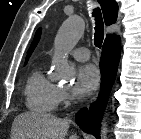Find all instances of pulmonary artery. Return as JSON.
<instances>
[{"mask_svg": "<svg viewBox=\"0 0 141 139\" xmlns=\"http://www.w3.org/2000/svg\"><path fill=\"white\" fill-rule=\"evenodd\" d=\"M72 57L78 61H87L90 58V51L87 48H76L71 52Z\"/></svg>", "mask_w": 141, "mask_h": 139, "instance_id": "obj_1", "label": "pulmonary artery"}]
</instances>
